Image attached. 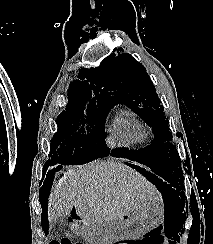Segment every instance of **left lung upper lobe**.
Here are the masks:
<instances>
[{"label": "left lung upper lobe", "instance_id": "obj_1", "mask_svg": "<svg viewBox=\"0 0 213 244\" xmlns=\"http://www.w3.org/2000/svg\"><path fill=\"white\" fill-rule=\"evenodd\" d=\"M95 80L101 98L110 108L118 103L127 105L152 127L151 145L138 153L141 162L155 168L177 191L184 190L180 157L176 147L169 142L172 139L169 121L162 112L161 101L146 68L130 54L117 50L102 61Z\"/></svg>", "mask_w": 213, "mask_h": 244}]
</instances>
